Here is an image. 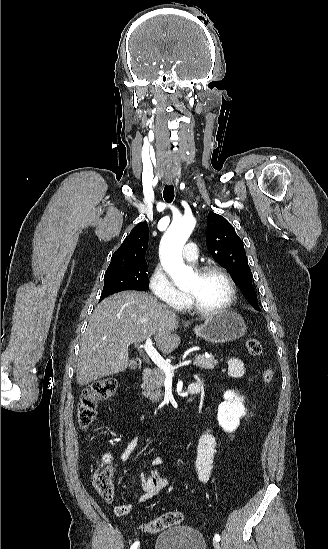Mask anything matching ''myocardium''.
Segmentation results:
<instances>
[{
	"label": "myocardium",
	"mask_w": 328,
	"mask_h": 549,
	"mask_svg": "<svg viewBox=\"0 0 328 549\" xmlns=\"http://www.w3.org/2000/svg\"><path fill=\"white\" fill-rule=\"evenodd\" d=\"M187 267L192 269L193 272L198 276H202L210 271H218L226 278L230 288V294L227 301L221 306L213 309L203 308L190 292L183 290L187 300V307L190 310H192L193 312H195L197 315L201 317H207V316L221 315L232 308L233 304L237 299L238 287L235 279L233 278L231 273L227 270V267L225 265L215 261H203V262L189 263Z\"/></svg>",
	"instance_id": "f54148a6"
}]
</instances>
